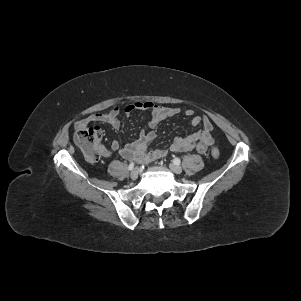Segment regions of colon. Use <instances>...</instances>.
Segmentation results:
<instances>
[{"label":"colon","instance_id":"obj_1","mask_svg":"<svg viewBox=\"0 0 301 301\" xmlns=\"http://www.w3.org/2000/svg\"><path fill=\"white\" fill-rule=\"evenodd\" d=\"M102 131L98 126H83L77 128L74 136L76 144L82 150L89 162H97L101 154ZM220 151L217 147L211 149V156L217 159Z\"/></svg>","mask_w":301,"mask_h":301}]
</instances>
